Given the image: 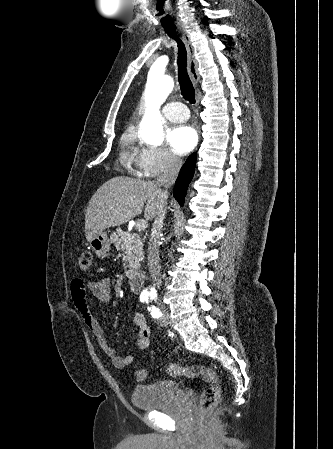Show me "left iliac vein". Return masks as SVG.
<instances>
[{"instance_id":"left-iliac-vein-1","label":"left iliac vein","mask_w":333,"mask_h":449,"mask_svg":"<svg viewBox=\"0 0 333 449\" xmlns=\"http://www.w3.org/2000/svg\"><path fill=\"white\" fill-rule=\"evenodd\" d=\"M168 324H169V317L166 314H164V316L161 319L160 325L163 327H167Z\"/></svg>"}]
</instances>
